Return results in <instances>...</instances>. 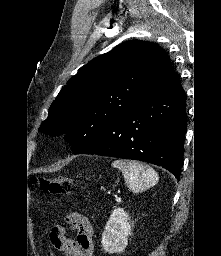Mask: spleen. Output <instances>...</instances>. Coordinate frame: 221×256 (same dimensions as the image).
Instances as JSON below:
<instances>
[{
	"label": "spleen",
	"instance_id": "3e777b00",
	"mask_svg": "<svg viewBox=\"0 0 221 256\" xmlns=\"http://www.w3.org/2000/svg\"><path fill=\"white\" fill-rule=\"evenodd\" d=\"M112 166L122 172L129 189L133 193H142L156 185L159 179L152 167L137 161L115 160Z\"/></svg>",
	"mask_w": 221,
	"mask_h": 256
}]
</instances>
